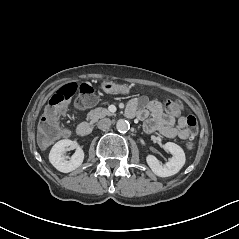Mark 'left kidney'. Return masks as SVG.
Returning <instances> with one entry per match:
<instances>
[{
	"mask_svg": "<svg viewBox=\"0 0 239 239\" xmlns=\"http://www.w3.org/2000/svg\"><path fill=\"white\" fill-rule=\"evenodd\" d=\"M165 150L172 154V158L165 165L160 164L159 160L153 155L146 157L147 164L153 173L159 177H168L178 173L186 160L183 149L173 142H167Z\"/></svg>",
	"mask_w": 239,
	"mask_h": 239,
	"instance_id": "5707ae66",
	"label": "left kidney"
}]
</instances>
